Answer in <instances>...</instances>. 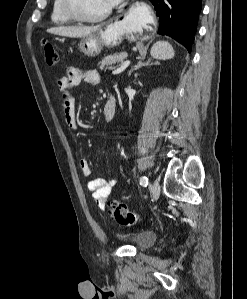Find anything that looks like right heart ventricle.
<instances>
[{
	"label": "right heart ventricle",
	"mask_w": 247,
	"mask_h": 299,
	"mask_svg": "<svg viewBox=\"0 0 247 299\" xmlns=\"http://www.w3.org/2000/svg\"><path fill=\"white\" fill-rule=\"evenodd\" d=\"M52 23L56 25H66L71 23V19L65 15L62 9V1L54 0L50 15Z\"/></svg>",
	"instance_id": "e07e8e85"
}]
</instances>
